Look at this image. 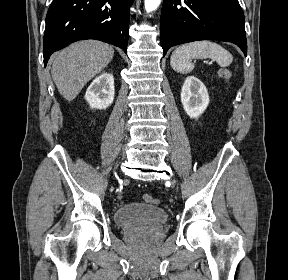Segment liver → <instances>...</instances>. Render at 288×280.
<instances>
[{"mask_svg":"<svg viewBox=\"0 0 288 280\" xmlns=\"http://www.w3.org/2000/svg\"><path fill=\"white\" fill-rule=\"evenodd\" d=\"M112 46L95 40L79 41L54 59L51 74L59 93L72 101L82 88L112 60Z\"/></svg>","mask_w":288,"mask_h":280,"instance_id":"6515ba94","label":"liver"}]
</instances>
